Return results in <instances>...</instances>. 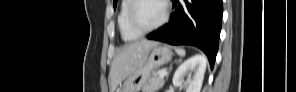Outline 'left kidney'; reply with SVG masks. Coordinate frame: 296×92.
Instances as JSON below:
<instances>
[{"label": "left kidney", "instance_id": "5707ae66", "mask_svg": "<svg viewBox=\"0 0 296 92\" xmlns=\"http://www.w3.org/2000/svg\"><path fill=\"white\" fill-rule=\"evenodd\" d=\"M207 59L203 55H194L181 63L174 73L172 82L174 86L185 87L186 92H200L204 74L206 71ZM193 74V77L191 75ZM189 76L185 82L184 77Z\"/></svg>", "mask_w": 296, "mask_h": 92}]
</instances>
